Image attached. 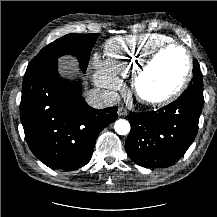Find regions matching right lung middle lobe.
Listing matches in <instances>:
<instances>
[{
  "instance_id": "obj_1",
  "label": "right lung middle lobe",
  "mask_w": 217,
  "mask_h": 217,
  "mask_svg": "<svg viewBox=\"0 0 217 217\" xmlns=\"http://www.w3.org/2000/svg\"><path fill=\"white\" fill-rule=\"evenodd\" d=\"M98 34H68L44 47L29 63L26 72L57 59L63 55H74L80 63V69L86 71L89 54L97 40Z\"/></svg>"
}]
</instances>
